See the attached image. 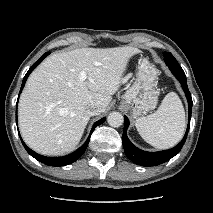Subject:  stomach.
<instances>
[{
  "mask_svg": "<svg viewBox=\"0 0 213 213\" xmlns=\"http://www.w3.org/2000/svg\"><path fill=\"white\" fill-rule=\"evenodd\" d=\"M157 80L156 68L147 59H142L139 62L136 80L125 92L121 102L134 118L143 116L157 105Z\"/></svg>",
  "mask_w": 213,
  "mask_h": 213,
  "instance_id": "obj_1",
  "label": "stomach"
}]
</instances>
